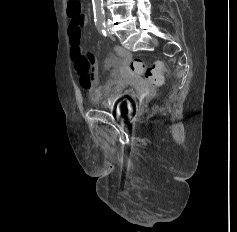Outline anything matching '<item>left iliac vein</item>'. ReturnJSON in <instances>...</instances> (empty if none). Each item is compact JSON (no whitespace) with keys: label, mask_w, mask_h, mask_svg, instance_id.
Instances as JSON below:
<instances>
[{"label":"left iliac vein","mask_w":237,"mask_h":232,"mask_svg":"<svg viewBox=\"0 0 237 232\" xmlns=\"http://www.w3.org/2000/svg\"><path fill=\"white\" fill-rule=\"evenodd\" d=\"M108 36L112 39V40H114L115 39V37L113 36V34L108 30Z\"/></svg>","instance_id":"obj_1"}]
</instances>
